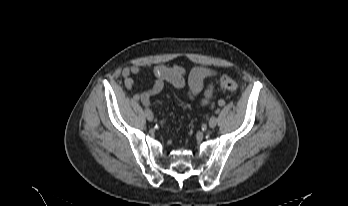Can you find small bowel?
<instances>
[{"instance_id": "small-bowel-1", "label": "small bowel", "mask_w": 348, "mask_h": 206, "mask_svg": "<svg viewBox=\"0 0 348 206\" xmlns=\"http://www.w3.org/2000/svg\"><path fill=\"white\" fill-rule=\"evenodd\" d=\"M145 71L151 73L155 78V82L151 88L141 91L137 95L145 106H150L151 97L163 91L165 82L172 84L176 88H183L187 86L189 95L191 97H196L199 94H202V103H207L212 95V86L210 84H206L205 81L219 75V72L215 69L199 66L190 71L186 80L185 72L179 66L170 67L166 65H156L146 69L143 66L134 65L122 70V76L124 78V85L126 89H134L136 87V83L133 76L141 74Z\"/></svg>"}]
</instances>
